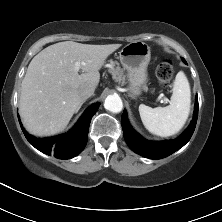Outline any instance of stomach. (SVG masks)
Returning a JSON list of instances; mask_svg holds the SVG:
<instances>
[{"instance_id": "0dacf381", "label": "stomach", "mask_w": 222, "mask_h": 222, "mask_svg": "<svg viewBox=\"0 0 222 222\" xmlns=\"http://www.w3.org/2000/svg\"><path fill=\"white\" fill-rule=\"evenodd\" d=\"M120 62L127 71L128 90L131 96L141 94L148 80L147 67L151 58L148 44L134 41L125 45L119 53Z\"/></svg>"}]
</instances>
